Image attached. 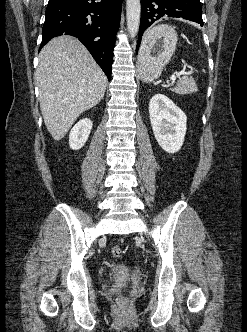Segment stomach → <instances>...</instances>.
<instances>
[{
	"label": "stomach",
	"instance_id": "stomach-1",
	"mask_svg": "<svg viewBox=\"0 0 247 332\" xmlns=\"http://www.w3.org/2000/svg\"><path fill=\"white\" fill-rule=\"evenodd\" d=\"M178 41L174 27L157 25L143 36L138 52V71L144 81L157 79L170 62Z\"/></svg>",
	"mask_w": 247,
	"mask_h": 332
}]
</instances>
